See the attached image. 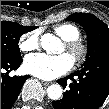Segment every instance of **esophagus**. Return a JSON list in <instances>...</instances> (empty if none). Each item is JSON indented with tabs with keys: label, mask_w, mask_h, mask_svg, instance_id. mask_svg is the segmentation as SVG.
<instances>
[{
	"label": "esophagus",
	"mask_w": 109,
	"mask_h": 109,
	"mask_svg": "<svg viewBox=\"0 0 109 109\" xmlns=\"http://www.w3.org/2000/svg\"><path fill=\"white\" fill-rule=\"evenodd\" d=\"M42 84H43L44 86H49L51 83H50V82L42 81Z\"/></svg>",
	"instance_id": "34e87169"
}]
</instances>
